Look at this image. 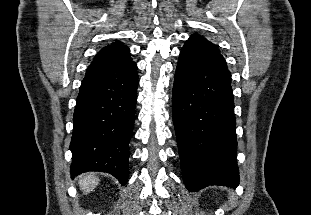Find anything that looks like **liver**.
Listing matches in <instances>:
<instances>
[{
    "label": "liver",
    "mask_w": 311,
    "mask_h": 215,
    "mask_svg": "<svg viewBox=\"0 0 311 215\" xmlns=\"http://www.w3.org/2000/svg\"><path fill=\"white\" fill-rule=\"evenodd\" d=\"M99 178L93 173H85L79 179V185L84 193H90L98 185Z\"/></svg>",
    "instance_id": "liver-1"
}]
</instances>
